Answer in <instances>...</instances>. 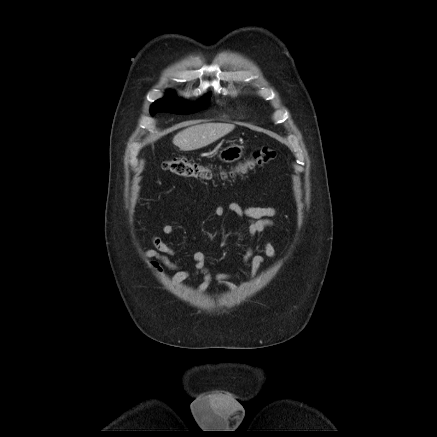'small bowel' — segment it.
Here are the masks:
<instances>
[{
  "instance_id": "1",
  "label": "small bowel",
  "mask_w": 437,
  "mask_h": 437,
  "mask_svg": "<svg viewBox=\"0 0 437 437\" xmlns=\"http://www.w3.org/2000/svg\"><path fill=\"white\" fill-rule=\"evenodd\" d=\"M228 209L238 218L246 219L248 224V233L251 239L262 235L266 230L274 226L273 218L277 211L273 207H246L242 208L237 203H230ZM226 209L223 206H217L214 209L216 217H223ZM161 229L164 234L171 235L174 232V227L163 222ZM153 244L152 249L145 251V256L150 260V265L159 274L163 275V267L174 271L172 281L175 285L181 284L190 278L191 275L197 274L202 276V282L198 286V291H205L212 280H216L221 286L231 290L240 291L247 287V282L235 283L233 279L236 274L218 272L211 274L206 267L207 254L201 251L195 252L192 255L195 268L193 272L184 270L179 264L171 258L176 254L175 250L169 246L161 237L153 236L151 239ZM276 255L275 247L267 240L262 242V254H255L252 247H249L244 256L243 264L250 266V275L254 277L265 262L266 258H273Z\"/></svg>"
}]
</instances>
